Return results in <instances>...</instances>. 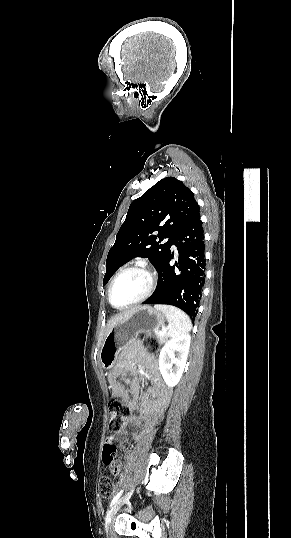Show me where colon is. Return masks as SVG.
<instances>
[{
  "instance_id": "colon-1",
  "label": "colon",
  "mask_w": 291,
  "mask_h": 538,
  "mask_svg": "<svg viewBox=\"0 0 291 538\" xmlns=\"http://www.w3.org/2000/svg\"><path fill=\"white\" fill-rule=\"evenodd\" d=\"M143 344L149 352H156L159 349V341L153 336H146L143 338ZM109 428L110 431L115 434L122 430L126 424V420L129 413L128 405L121 399L113 397L110 399L109 404ZM102 458L106 465L112 466L116 462V449L114 444L109 441L104 444ZM99 493L104 498H110L115 492V484L112 477L109 474H103L99 478L98 482Z\"/></svg>"
}]
</instances>
